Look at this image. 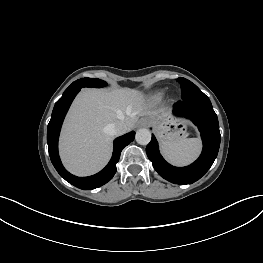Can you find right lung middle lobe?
Instances as JSON below:
<instances>
[{
    "mask_svg": "<svg viewBox=\"0 0 263 263\" xmlns=\"http://www.w3.org/2000/svg\"><path fill=\"white\" fill-rule=\"evenodd\" d=\"M107 83L100 79H91V78H82L73 82L65 92H68L75 88H82V87H103L106 86ZM64 92V93H65Z\"/></svg>",
    "mask_w": 263,
    "mask_h": 263,
    "instance_id": "obj_1",
    "label": "right lung middle lobe"
}]
</instances>
